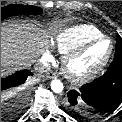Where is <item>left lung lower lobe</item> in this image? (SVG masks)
Masks as SVG:
<instances>
[{"instance_id": "obj_1", "label": "left lung lower lobe", "mask_w": 122, "mask_h": 122, "mask_svg": "<svg viewBox=\"0 0 122 122\" xmlns=\"http://www.w3.org/2000/svg\"><path fill=\"white\" fill-rule=\"evenodd\" d=\"M122 102V59H113L98 79L68 92L67 107L94 117L114 111Z\"/></svg>"}]
</instances>
